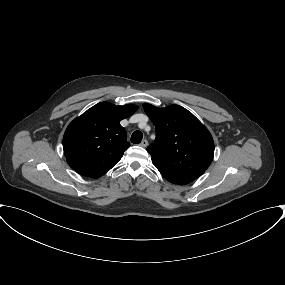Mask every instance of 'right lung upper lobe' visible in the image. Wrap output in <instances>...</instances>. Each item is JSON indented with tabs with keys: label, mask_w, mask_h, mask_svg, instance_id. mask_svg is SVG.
I'll use <instances>...</instances> for the list:
<instances>
[{
	"label": "right lung upper lobe",
	"mask_w": 285,
	"mask_h": 285,
	"mask_svg": "<svg viewBox=\"0 0 285 285\" xmlns=\"http://www.w3.org/2000/svg\"><path fill=\"white\" fill-rule=\"evenodd\" d=\"M138 107L100 102L67 127L63 149L69 166L82 176L98 178L110 170L130 146L120 121Z\"/></svg>",
	"instance_id": "obj_1"
}]
</instances>
